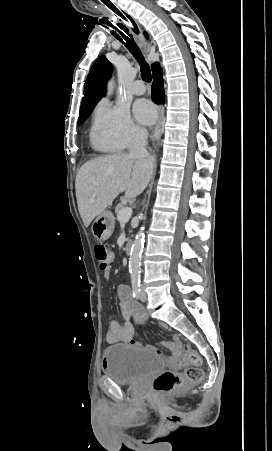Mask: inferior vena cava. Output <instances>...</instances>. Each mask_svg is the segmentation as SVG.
Instances as JSON below:
<instances>
[{
  "label": "inferior vena cava",
  "mask_w": 272,
  "mask_h": 451,
  "mask_svg": "<svg viewBox=\"0 0 272 451\" xmlns=\"http://www.w3.org/2000/svg\"><path fill=\"white\" fill-rule=\"evenodd\" d=\"M148 132L147 130H138L130 144V156L135 158H150L146 146H147Z\"/></svg>",
  "instance_id": "1"
}]
</instances>
